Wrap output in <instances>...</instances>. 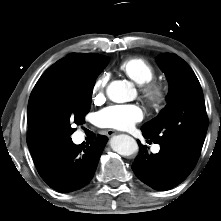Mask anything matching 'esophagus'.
<instances>
[{
	"instance_id": "obj_1",
	"label": "esophagus",
	"mask_w": 221,
	"mask_h": 221,
	"mask_svg": "<svg viewBox=\"0 0 221 221\" xmlns=\"http://www.w3.org/2000/svg\"><path fill=\"white\" fill-rule=\"evenodd\" d=\"M105 133H106L107 136H113L115 134V131L109 129V130H106Z\"/></svg>"
}]
</instances>
